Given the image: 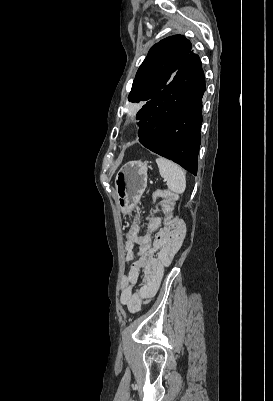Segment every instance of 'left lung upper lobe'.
I'll use <instances>...</instances> for the list:
<instances>
[{"label":"left lung upper lobe","instance_id":"left-lung-upper-lobe-1","mask_svg":"<svg viewBox=\"0 0 273 401\" xmlns=\"http://www.w3.org/2000/svg\"><path fill=\"white\" fill-rule=\"evenodd\" d=\"M191 43L182 35L167 37L156 43L140 65L128 100L149 101L171 81L191 52Z\"/></svg>","mask_w":273,"mask_h":401}]
</instances>
